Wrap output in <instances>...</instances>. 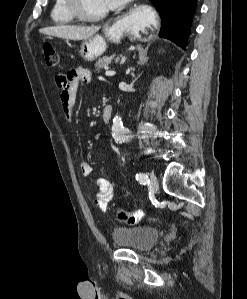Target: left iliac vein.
Listing matches in <instances>:
<instances>
[{
	"label": "left iliac vein",
	"instance_id": "obj_1",
	"mask_svg": "<svg viewBox=\"0 0 247 299\" xmlns=\"http://www.w3.org/2000/svg\"><path fill=\"white\" fill-rule=\"evenodd\" d=\"M149 186L153 191H157L159 188L158 180L154 174H150Z\"/></svg>",
	"mask_w": 247,
	"mask_h": 299
}]
</instances>
